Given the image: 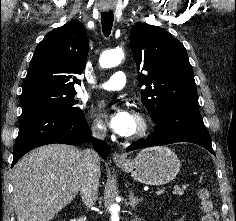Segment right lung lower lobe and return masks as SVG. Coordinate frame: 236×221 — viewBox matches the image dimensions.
Listing matches in <instances>:
<instances>
[{
	"mask_svg": "<svg viewBox=\"0 0 236 221\" xmlns=\"http://www.w3.org/2000/svg\"><path fill=\"white\" fill-rule=\"evenodd\" d=\"M88 124L81 112L56 109H35L21 115L19 133L13 150L12 166L30 150L53 143L78 145L89 141ZM94 148L107 158L106 144L93 139Z\"/></svg>",
	"mask_w": 236,
	"mask_h": 221,
	"instance_id": "right-lung-lower-lobe-1",
	"label": "right lung lower lobe"
}]
</instances>
